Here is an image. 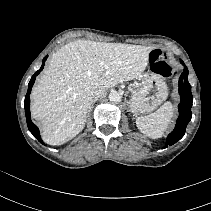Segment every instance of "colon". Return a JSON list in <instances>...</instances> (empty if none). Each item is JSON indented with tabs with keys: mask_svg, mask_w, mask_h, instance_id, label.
Instances as JSON below:
<instances>
[{
	"mask_svg": "<svg viewBox=\"0 0 211 211\" xmlns=\"http://www.w3.org/2000/svg\"><path fill=\"white\" fill-rule=\"evenodd\" d=\"M150 60L158 74L164 77H169L172 75V67L166 62L164 55L160 50H153L150 53Z\"/></svg>",
	"mask_w": 211,
	"mask_h": 211,
	"instance_id": "1",
	"label": "colon"
}]
</instances>
